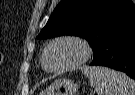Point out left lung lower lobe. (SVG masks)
I'll return each instance as SVG.
<instances>
[{"label": "left lung lower lobe", "instance_id": "obj_1", "mask_svg": "<svg viewBox=\"0 0 135 95\" xmlns=\"http://www.w3.org/2000/svg\"><path fill=\"white\" fill-rule=\"evenodd\" d=\"M93 56L90 65L122 71L135 80V21L109 34Z\"/></svg>", "mask_w": 135, "mask_h": 95}]
</instances>
